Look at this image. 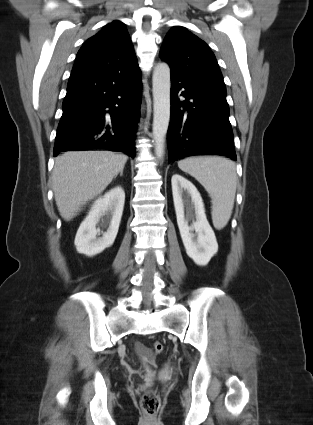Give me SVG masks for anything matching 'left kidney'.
<instances>
[{
  "label": "left kidney",
  "mask_w": 313,
  "mask_h": 425,
  "mask_svg": "<svg viewBox=\"0 0 313 425\" xmlns=\"http://www.w3.org/2000/svg\"><path fill=\"white\" fill-rule=\"evenodd\" d=\"M171 184L177 224L186 253L197 265L205 266L217 253L218 244L207 221L201 195L190 181L179 174L172 176ZM185 194L191 197V202L186 200ZM193 217L196 221L189 226L188 221Z\"/></svg>",
  "instance_id": "5707ae66"
}]
</instances>
